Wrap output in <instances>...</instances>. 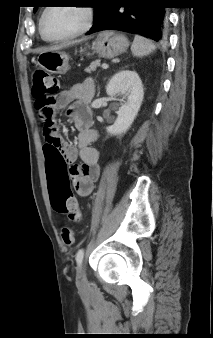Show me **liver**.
Instances as JSON below:
<instances>
[{"label": "liver", "mask_w": 213, "mask_h": 338, "mask_svg": "<svg viewBox=\"0 0 213 338\" xmlns=\"http://www.w3.org/2000/svg\"><path fill=\"white\" fill-rule=\"evenodd\" d=\"M62 47H63V46H53V47H49V48L44 49L43 52L59 50V49H61Z\"/></svg>", "instance_id": "1"}]
</instances>
